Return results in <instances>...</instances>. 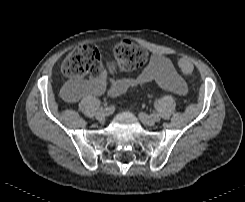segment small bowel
I'll use <instances>...</instances> for the list:
<instances>
[{
    "label": "small bowel",
    "mask_w": 245,
    "mask_h": 202,
    "mask_svg": "<svg viewBox=\"0 0 245 202\" xmlns=\"http://www.w3.org/2000/svg\"><path fill=\"white\" fill-rule=\"evenodd\" d=\"M186 62L190 61L179 59L178 67L181 69ZM152 82L176 94H184L188 90L187 83L176 72L173 64L161 55H153L146 68L135 77L110 80L108 74L102 71L93 79H78L65 104H79L82 100L105 92L112 97H117L127 90L142 88Z\"/></svg>",
    "instance_id": "small-bowel-1"
}]
</instances>
